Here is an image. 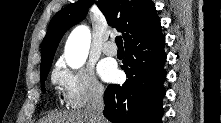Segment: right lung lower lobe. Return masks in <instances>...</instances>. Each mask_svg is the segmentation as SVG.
<instances>
[{
	"instance_id": "1",
	"label": "right lung lower lobe",
	"mask_w": 221,
	"mask_h": 123,
	"mask_svg": "<svg viewBox=\"0 0 221 123\" xmlns=\"http://www.w3.org/2000/svg\"><path fill=\"white\" fill-rule=\"evenodd\" d=\"M165 37L160 32L130 42L122 69L123 85H109L104 93V116L113 123H162L166 79Z\"/></svg>"
}]
</instances>
